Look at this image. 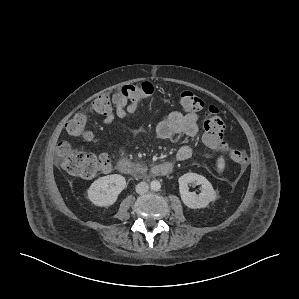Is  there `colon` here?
<instances>
[{
	"mask_svg": "<svg viewBox=\"0 0 299 299\" xmlns=\"http://www.w3.org/2000/svg\"><path fill=\"white\" fill-rule=\"evenodd\" d=\"M120 93L130 101L141 102L149 99L154 93V86L150 82H138L124 86ZM179 105L188 113L204 111L203 141L214 155L229 156L240 167L248 163V156L244 151L230 148L224 140L225 123L219 115V109L214 105H206L202 99L191 91L179 94ZM112 108L111 98L101 95L95 98L89 110L92 113L105 115ZM69 135L91 141L93 133L87 128V116L83 113L74 115L67 123ZM58 156L61 168L69 175L91 178L100 173L108 172L111 168L110 156L107 154L94 155L73 148L63 141L58 145Z\"/></svg>",
	"mask_w": 299,
	"mask_h": 299,
	"instance_id": "colon-1",
	"label": "colon"
}]
</instances>
